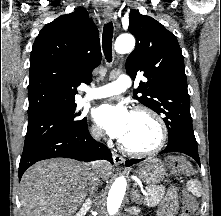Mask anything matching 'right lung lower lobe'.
Instances as JSON below:
<instances>
[{
    "label": "right lung lower lobe",
    "mask_w": 221,
    "mask_h": 216,
    "mask_svg": "<svg viewBox=\"0 0 221 216\" xmlns=\"http://www.w3.org/2000/svg\"><path fill=\"white\" fill-rule=\"evenodd\" d=\"M55 157H66L85 162L104 159L113 164L110 150L91 137L86 120L73 130L23 150L19 165V179L35 162Z\"/></svg>",
    "instance_id": "1"
}]
</instances>
